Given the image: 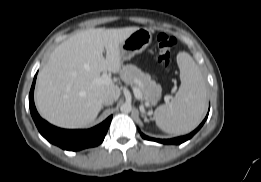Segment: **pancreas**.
Returning <instances> with one entry per match:
<instances>
[{"mask_svg": "<svg viewBox=\"0 0 261 182\" xmlns=\"http://www.w3.org/2000/svg\"><path fill=\"white\" fill-rule=\"evenodd\" d=\"M122 80L130 85H139L144 100L151 104L156 105L161 96V86L153 81L149 74L144 73L135 65H125L121 69Z\"/></svg>", "mask_w": 261, "mask_h": 182, "instance_id": "pancreas-1", "label": "pancreas"}]
</instances>
